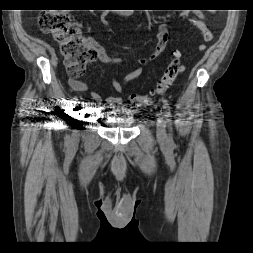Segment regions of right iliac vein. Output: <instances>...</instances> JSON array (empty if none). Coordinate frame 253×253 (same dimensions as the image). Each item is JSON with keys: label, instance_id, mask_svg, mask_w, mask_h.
<instances>
[{"label": "right iliac vein", "instance_id": "1", "mask_svg": "<svg viewBox=\"0 0 253 253\" xmlns=\"http://www.w3.org/2000/svg\"><path fill=\"white\" fill-rule=\"evenodd\" d=\"M78 110L79 107H76V109L73 111L71 115V124L69 125V129L73 134H76V127L78 126V118H79Z\"/></svg>", "mask_w": 253, "mask_h": 253}]
</instances>
